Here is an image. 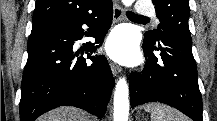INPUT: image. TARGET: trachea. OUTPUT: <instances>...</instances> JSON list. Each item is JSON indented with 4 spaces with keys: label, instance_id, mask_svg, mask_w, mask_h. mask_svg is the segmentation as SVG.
<instances>
[{
    "label": "trachea",
    "instance_id": "obj_1",
    "mask_svg": "<svg viewBox=\"0 0 217 121\" xmlns=\"http://www.w3.org/2000/svg\"><path fill=\"white\" fill-rule=\"evenodd\" d=\"M127 16H129V17H139V18L144 17V16H141V15L135 14V13L130 12V11L127 12Z\"/></svg>",
    "mask_w": 217,
    "mask_h": 121
}]
</instances>
